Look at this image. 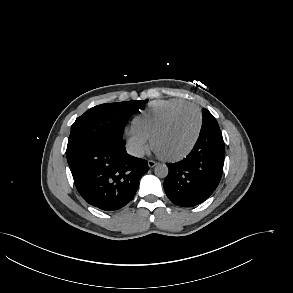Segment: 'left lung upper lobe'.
Listing matches in <instances>:
<instances>
[{
  "instance_id": "5c2ea615",
  "label": "left lung upper lobe",
  "mask_w": 293,
  "mask_h": 293,
  "mask_svg": "<svg viewBox=\"0 0 293 293\" xmlns=\"http://www.w3.org/2000/svg\"><path fill=\"white\" fill-rule=\"evenodd\" d=\"M203 123L200 132H205L211 129H220L216 119L213 115L205 108L202 109Z\"/></svg>"
}]
</instances>
